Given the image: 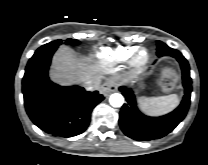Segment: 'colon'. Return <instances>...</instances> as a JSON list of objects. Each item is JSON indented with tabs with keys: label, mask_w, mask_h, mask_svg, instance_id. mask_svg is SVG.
<instances>
[{
	"label": "colon",
	"mask_w": 208,
	"mask_h": 165,
	"mask_svg": "<svg viewBox=\"0 0 208 165\" xmlns=\"http://www.w3.org/2000/svg\"><path fill=\"white\" fill-rule=\"evenodd\" d=\"M177 76L173 70L167 69L163 72L161 77V88L165 91L172 90L176 85Z\"/></svg>",
	"instance_id": "1"
}]
</instances>
